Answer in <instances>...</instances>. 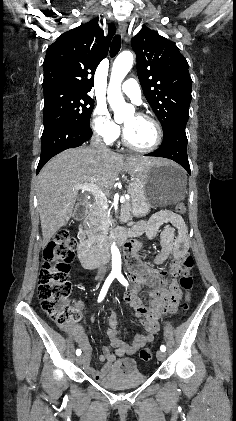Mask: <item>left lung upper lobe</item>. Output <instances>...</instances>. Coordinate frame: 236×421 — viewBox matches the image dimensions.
Masks as SVG:
<instances>
[{
    "label": "left lung upper lobe",
    "instance_id": "obj_1",
    "mask_svg": "<svg viewBox=\"0 0 236 421\" xmlns=\"http://www.w3.org/2000/svg\"><path fill=\"white\" fill-rule=\"evenodd\" d=\"M137 55V74L143 93L160 120L163 133L178 122L187 123L192 79L178 47L143 26L131 41Z\"/></svg>",
    "mask_w": 236,
    "mask_h": 421
}]
</instances>
